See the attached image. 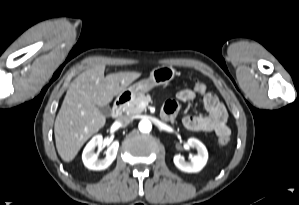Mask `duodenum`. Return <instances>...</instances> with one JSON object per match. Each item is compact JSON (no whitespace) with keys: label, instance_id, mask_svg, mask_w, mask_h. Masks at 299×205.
<instances>
[{"label":"duodenum","instance_id":"1","mask_svg":"<svg viewBox=\"0 0 299 205\" xmlns=\"http://www.w3.org/2000/svg\"><path fill=\"white\" fill-rule=\"evenodd\" d=\"M128 100H129V97L122 96L114 102L113 107H112V116L113 117H118L122 113V110ZM162 117L166 120L169 119V117L165 114H162Z\"/></svg>","mask_w":299,"mask_h":205}]
</instances>
